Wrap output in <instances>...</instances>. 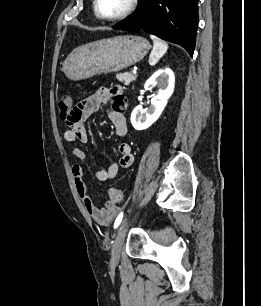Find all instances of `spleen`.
Instances as JSON below:
<instances>
[{
  "label": "spleen",
  "mask_w": 261,
  "mask_h": 306,
  "mask_svg": "<svg viewBox=\"0 0 261 306\" xmlns=\"http://www.w3.org/2000/svg\"><path fill=\"white\" fill-rule=\"evenodd\" d=\"M150 38L153 41V49L149 56V64L151 66H154L158 63L160 58L167 52L168 44L154 35H150Z\"/></svg>",
  "instance_id": "spleen-1"
}]
</instances>
